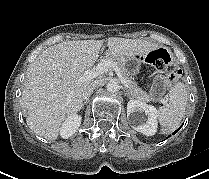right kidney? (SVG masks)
Here are the masks:
<instances>
[{"label":"right kidney","instance_id":"1","mask_svg":"<svg viewBox=\"0 0 209 179\" xmlns=\"http://www.w3.org/2000/svg\"><path fill=\"white\" fill-rule=\"evenodd\" d=\"M81 120L82 117L78 114L69 116L60 128V136L67 139L75 134L81 124Z\"/></svg>","mask_w":209,"mask_h":179}]
</instances>
